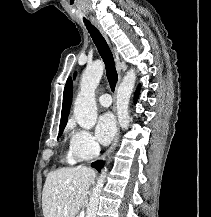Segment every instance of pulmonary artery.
I'll return each mask as SVG.
<instances>
[{"mask_svg":"<svg viewBox=\"0 0 211 217\" xmlns=\"http://www.w3.org/2000/svg\"><path fill=\"white\" fill-rule=\"evenodd\" d=\"M98 102L103 107H109L112 103V98L109 94H102L99 96Z\"/></svg>","mask_w":211,"mask_h":217,"instance_id":"e3ab8cb5","label":"pulmonary artery"}]
</instances>
